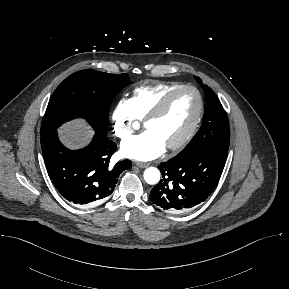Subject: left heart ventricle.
Segmentation results:
<instances>
[{
  "label": "left heart ventricle",
  "instance_id": "left-heart-ventricle-1",
  "mask_svg": "<svg viewBox=\"0 0 289 289\" xmlns=\"http://www.w3.org/2000/svg\"><path fill=\"white\" fill-rule=\"evenodd\" d=\"M198 109L197 95L190 90L176 95L165 113L146 124L166 146L179 141L191 127Z\"/></svg>",
  "mask_w": 289,
  "mask_h": 289
}]
</instances>
